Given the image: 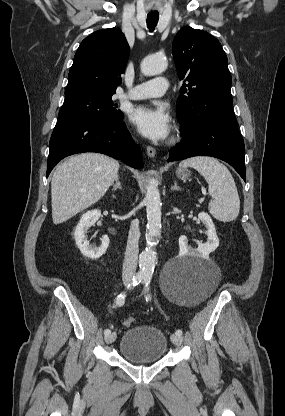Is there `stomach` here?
Segmentation results:
<instances>
[{
    "mask_svg": "<svg viewBox=\"0 0 285 416\" xmlns=\"http://www.w3.org/2000/svg\"><path fill=\"white\" fill-rule=\"evenodd\" d=\"M176 176L179 180H187L190 176V172L189 170H186V168H178V170H176Z\"/></svg>",
    "mask_w": 285,
    "mask_h": 416,
    "instance_id": "obj_1",
    "label": "stomach"
}]
</instances>
